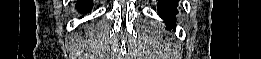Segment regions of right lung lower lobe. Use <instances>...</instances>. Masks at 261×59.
Instances as JSON below:
<instances>
[{
    "instance_id": "obj_1",
    "label": "right lung lower lobe",
    "mask_w": 261,
    "mask_h": 59,
    "mask_svg": "<svg viewBox=\"0 0 261 59\" xmlns=\"http://www.w3.org/2000/svg\"><path fill=\"white\" fill-rule=\"evenodd\" d=\"M93 1L92 0H80L78 1L76 8L83 13L89 12L92 8Z\"/></svg>"
}]
</instances>
